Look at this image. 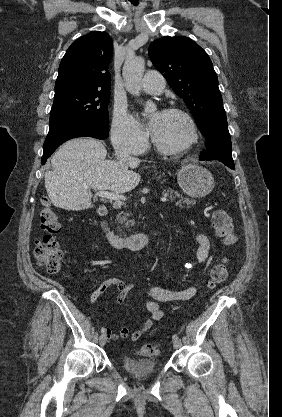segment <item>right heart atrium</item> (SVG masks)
Masks as SVG:
<instances>
[{
	"mask_svg": "<svg viewBox=\"0 0 282 417\" xmlns=\"http://www.w3.org/2000/svg\"><path fill=\"white\" fill-rule=\"evenodd\" d=\"M149 134L123 107H116L111 125V141L115 150L127 155L143 153Z\"/></svg>",
	"mask_w": 282,
	"mask_h": 417,
	"instance_id": "right-heart-atrium-1",
	"label": "right heart atrium"
}]
</instances>
